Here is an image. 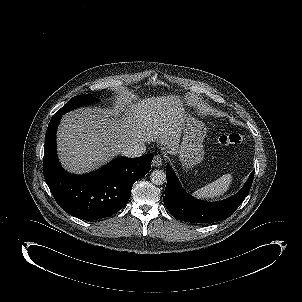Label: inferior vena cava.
<instances>
[{"mask_svg": "<svg viewBox=\"0 0 302 302\" xmlns=\"http://www.w3.org/2000/svg\"><path fill=\"white\" fill-rule=\"evenodd\" d=\"M146 151L145 145L128 146L121 150V154L128 158H136L142 156Z\"/></svg>", "mask_w": 302, "mask_h": 302, "instance_id": "obj_1", "label": "inferior vena cava"}]
</instances>
